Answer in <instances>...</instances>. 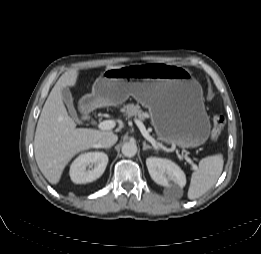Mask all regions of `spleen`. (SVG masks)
Returning <instances> with one entry per match:
<instances>
[{"instance_id":"obj_1","label":"spleen","mask_w":261,"mask_h":254,"mask_svg":"<svg viewBox=\"0 0 261 254\" xmlns=\"http://www.w3.org/2000/svg\"><path fill=\"white\" fill-rule=\"evenodd\" d=\"M224 160L221 154L208 156L200 160L199 167L192 173L188 189V198L197 199L205 194L217 182L223 170Z\"/></svg>"}]
</instances>
